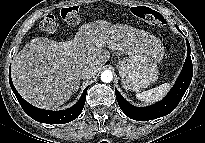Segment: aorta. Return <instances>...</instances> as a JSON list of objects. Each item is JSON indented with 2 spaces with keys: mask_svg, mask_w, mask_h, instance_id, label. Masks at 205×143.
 <instances>
[{
  "mask_svg": "<svg viewBox=\"0 0 205 143\" xmlns=\"http://www.w3.org/2000/svg\"><path fill=\"white\" fill-rule=\"evenodd\" d=\"M113 80V74L109 70H105L101 73V81L104 83H110Z\"/></svg>",
  "mask_w": 205,
  "mask_h": 143,
  "instance_id": "1",
  "label": "aorta"
}]
</instances>
